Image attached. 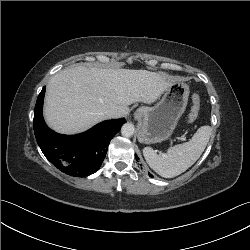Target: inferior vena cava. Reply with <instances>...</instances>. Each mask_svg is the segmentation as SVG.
<instances>
[{"mask_svg":"<svg viewBox=\"0 0 250 250\" xmlns=\"http://www.w3.org/2000/svg\"><path fill=\"white\" fill-rule=\"evenodd\" d=\"M106 116L107 118H119V114L116 111H108Z\"/></svg>","mask_w":250,"mask_h":250,"instance_id":"obj_1","label":"inferior vena cava"}]
</instances>
